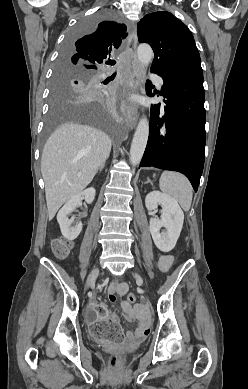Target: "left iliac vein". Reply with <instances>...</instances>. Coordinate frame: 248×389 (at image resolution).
<instances>
[{
  "instance_id": "4c4485c4",
  "label": "left iliac vein",
  "mask_w": 248,
  "mask_h": 389,
  "mask_svg": "<svg viewBox=\"0 0 248 389\" xmlns=\"http://www.w3.org/2000/svg\"><path fill=\"white\" fill-rule=\"evenodd\" d=\"M134 277H135V279H136V281H137V283H138L139 285L144 286L143 279H142V277H141L139 274L134 273Z\"/></svg>"
}]
</instances>
